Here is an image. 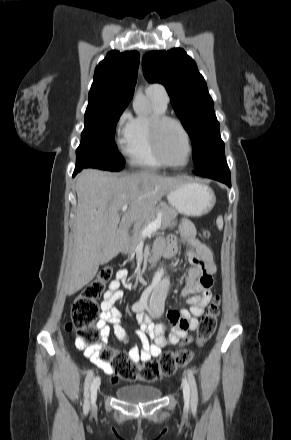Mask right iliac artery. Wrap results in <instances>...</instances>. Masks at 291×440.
<instances>
[{
  "instance_id": "82829eb1",
  "label": "right iliac artery",
  "mask_w": 291,
  "mask_h": 440,
  "mask_svg": "<svg viewBox=\"0 0 291 440\" xmlns=\"http://www.w3.org/2000/svg\"><path fill=\"white\" fill-rule=\"evenodd\" d=\"M133 310L135 311V306H133ZM93 378V370H89L87 373V376L85 378V384H84V398H85V402H84V412L87 413L89 411V386L91 383V380Z\"/></svg>"
}]
</instances>
